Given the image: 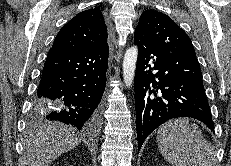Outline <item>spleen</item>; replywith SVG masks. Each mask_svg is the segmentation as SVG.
Instances as JSON below:
<instances>
[{
  "instance_id": "1",
  "label": "spleen",
  "mask_w": 231,
  "mask_h": 166,
  "mask_svg": "<svg viewBox=\"0 0 231 166\" xmlns=\"http://www.w3.org/2000/svg\"><path fill=\"white\" fill-rule=\"evenodd\" d=\"M160 153L173 166H218L214 146L199 127L186 118L173 119L159 127Z\"/></svg>"
}]
</instances>
